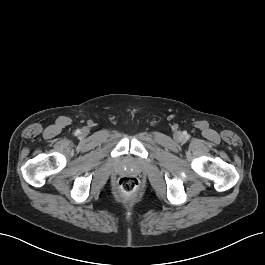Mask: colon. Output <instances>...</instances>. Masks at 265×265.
<instances>
[{
  "label": "colon",
  "instance_id": "colon-1",
  "mask_svg": "<svg viewBox=\"0 0 265 265\" xmlns=\"http://www.w3.org/2000/svg\"><path fill=\"white\" fill-rule=\"evenodd\" d=\"M119 187L126 193H134L138 189V180L133 176H123L119 179Z\"/></svg>",
  "mask_w": 265,
  "mask_h": 265
}]
</instances>
